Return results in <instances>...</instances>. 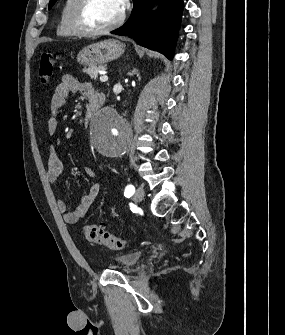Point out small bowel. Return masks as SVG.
<instances>
[{
    "mask_svg": "<svg viewBox=\"0 0 285 335\" xmlns=\"http://www.w3.org/2000/svg\"><path fill=\"white\" fill-rule=\"evenodd\" d=\"M73 93H80L90 102L93 100L103 99L102 96L89 83H81L72 75H64L61 82L56 86L50 101L51 117L47 122V130L50 135H54L59 128V114L66 104L68 98ZM47 175L52 183H55L63 174L64 167L58 157L55 146L53 144L47 147ZM88 177H95V171L91 167L84 169ZM101 191L100 183L91 186L86 195L83 196L77 208L74 211H68L62 200L58 201V209L67 223H77L88 212L91 205L97 199Z\"/></svg>",
    "mask_w": 285,
    "mask_h": 335,
    "instance_id": "small-bowel-1",
    "label": "small bowel"
}]
</instances>
